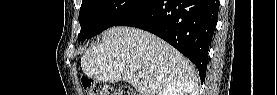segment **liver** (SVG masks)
Here are the masks:
<instances>
[{
    "mask_svg": "<svg viewBox=\"0 0 277 95\" xmlns=\"http://www.w3.org/2000/svg\"><path fill=\"white\" fill-rule=\"evenodd\" d=\"M81 68L101 82L126 81L140 95H156L178 80L197 81L194 65L175 48L154 34L125 26L104 31L82 56ZM139 72L144 76L138 77Z\"/></svg>",
    "mask_w": 277,
    "mask_h": 95,
    "instance_id": "6515ba94",
    "label": "liver"
}]
</instances>
